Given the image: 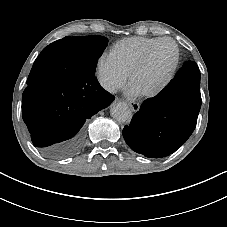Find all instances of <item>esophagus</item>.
<instances>
[{
	"label": "esophagus",
	"instance_id": "obj_1",
	"mask_svg": "<svg viewBox=\"0 0 227 227\" xmlns=\"http://www.w3.org/2000/svg\"><path fill=\"white\" fill-rule=\"evenodd\" d=\"M128 105L133 112H137L140 109V104L138 102L128 101Z\"/></svg>",
	"mask_w": 227,
	"mask_h": 227
}]
</instances>
